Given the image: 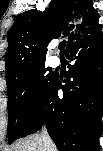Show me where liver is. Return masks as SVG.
Returning a JSON list of instances; mask_svg holds the SVG:
<instances>
[{"instance_id": "6515ba94", "label": "liver", "mask_w": 103, "mask_h": 151, "mask_svg": "<svg viewBox=\"0 0 103 151\" xmlns=\"http://www.w3.org/2000/svg\"><path fill=\"white\" fill-rule=\"evenodd\" d=\"M49 151H57L54 144L49 146ZM9 151H43L41 134H35L18 142Z\"/></svg>"}]
</instances>
